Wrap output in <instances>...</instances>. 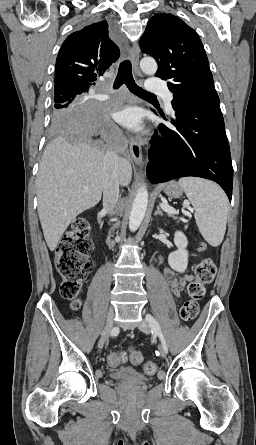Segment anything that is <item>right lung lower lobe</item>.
I'll return each mask as SVG.
<instances>
[{
	"instance_id": "1",
	"label": "right lung lower lobe",
	"mask_w": 256,
	"mask_h": 445,
	"mask_svg": "<svg viewBox=\"0 0 256 445\" xmlns=\"http://www.w3.org/2000/svg\"><path fill=\"white\" fill-rule=\"evenodd\" d=\"M70 127L72 133H77L76 137L94 140L104 150L126 152L125 140L111 121L107 107L101 103L82 102L70 115Z\"/></svg>"
}]
</instances>
